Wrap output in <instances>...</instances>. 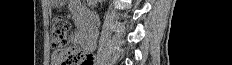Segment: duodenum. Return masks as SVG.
<instances>
[{
  "mask_svg": "<svg viewBox=\"0 0 232 65\" xmlns=\"http://www.w3.org/2000/svg\"><path fill=\"white\" fill-rule=\"evenodd\" d=\"M96 35V20L92 14L86 13L84 19V28L80 35V40L85 51L89 52L94 49Z\"/></svg>",
  "mask_w": 232,
  "mask_h": 65,
  "instance_id": "duodenum-1",
  "label": "duodenum"
}]
</instances>
